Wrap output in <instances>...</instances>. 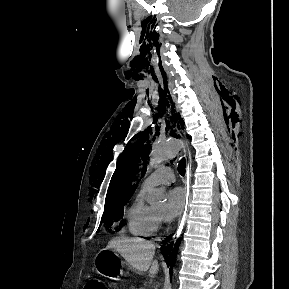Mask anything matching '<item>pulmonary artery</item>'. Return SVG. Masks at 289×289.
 Wrapping results in <instances>:
<instances>
[{"instance_id": "pulmonary-artery-1", "label": "pulmonary artery", "mask_w": 289, "mask_h": 289, "mask_svg": "<svg viewBox=\"0 0 289 289\" xmlns=\"http://www.w3.org/2000/svg\"><path fill=\"white\" fill-rule=\"evenodd\" d=\"M175 176L171 168L163 166L157 169L155 172L146 177L142 182V190H147L148 188L160 184H170L174 182Z\"/></svg>"}]
</instances>
